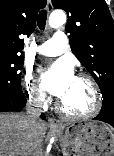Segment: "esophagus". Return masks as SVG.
I'll return each instance as SVG.
<instances>
[{"label": "esophagus", "mask_w": 114, "mask_h": 156, "mask_svg": "<svg viewBox=\"0 0 114 156\" xmlns=\"http://www.w3.org/2000/svg\"><path fill=\"white\" fill-rule=\"evenodd\" d=\"M46 9L48 11V13H51L52 10H53V6H52V2L51 0H47V6H46ZM48 123H49V126L50 127H53V128H60L61 127V124L58 120H56L55 118H49L48 119Z\"/></svg>", "instance_id": "esophagus-1"}]
</instances>
